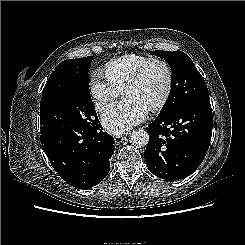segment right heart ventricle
<instances>
[{
	"mask_svg": "<svg viewBox=\"0 0 245 245\" xmlns=\"http://www.w3.org/2000/svg\"><path fill=\"white\" fill-rule=\"evenodd\" d=\"M149 57L129 54L108 62L104 74L117 88L123 90L127 81Z\"/></svg>",
	"mask_w": 245,
	"mask_h": 245,
	"instance_id": "obj_1",
	"label": "right heart ventricle"
}]
</instances>
